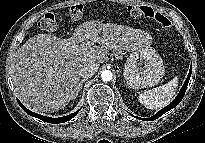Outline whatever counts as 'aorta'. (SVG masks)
Instances as JSON below:
<instances>
[{"label": "aorta", "instance_id": "obj_1", "mask_svg": "<svg viewBox=\"0 0 205 143\" xmlns=\"http://www.w3.org/2000/svg\"><path fill=\"white\" fill-rule=\"evenodd\" d=\"M101 79H102L104 82H107V81L112 80V72L109 71V70H104V71L101 73Z\"/></svg>", "mask_w": 205, "mask_h": 143}]
</instances>
